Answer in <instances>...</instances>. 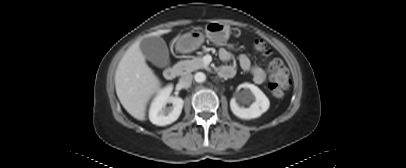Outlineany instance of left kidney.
I'll return each mask as SVG.
<instances>
[{
    "label": "left kidney",
    "instance_id": "left-kidney-1",
    "mask_svg": "<svg viewBox=\"0 0 406 168\" xmlns=\"http://www.w3.org/2000/svg\"><path fill=\"white\" fill-rule=\"evenodd\" d=\"M240 88H244L241 95L242 99L246 102H253L248 108H244L237 104L236 98H232L230 108L235 116L246 120L254 119L260 117L269 109V99L257 86L250 83H243L240 85Z\"/></svg>",
    "mask_w": 406,
    "mask_h": 168
}]
</instances>
